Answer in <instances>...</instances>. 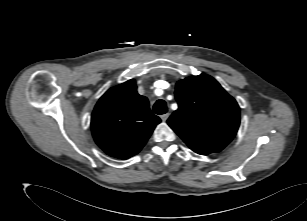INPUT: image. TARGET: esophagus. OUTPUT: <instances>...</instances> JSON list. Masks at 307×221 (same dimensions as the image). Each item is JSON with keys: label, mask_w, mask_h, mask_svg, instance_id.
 Listing matches in <instances>:
<instances>
[{"label": "esophagus", "mask_w": 307, "mask_h": 221, "mask_svg": "<svg viewBox=\"0 0 307 221\" xmlns=\"http://www.w3.org/2000/svg\"><path fill=\"white\" fill-rule=\"evenodd\" d=\"M169 115H170L169 113H165V114L161 115L162 121L165 122L168 119Z\"/></svg>", "instance_id": "esophagus-1"}]
</instances>
